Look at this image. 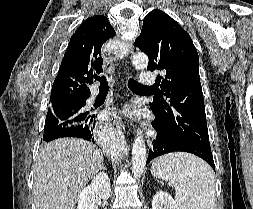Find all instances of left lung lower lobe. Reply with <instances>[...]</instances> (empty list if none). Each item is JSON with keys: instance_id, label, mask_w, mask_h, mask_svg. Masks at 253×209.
Returning a JSON list of instances; mask_svg holds the SVG:
<instances>
[{"instance_id": "obj_1", "label": "left lung lower lobe", "mask_w": 253, "mask_h": 209, "mask_svg": "<svg viewBox=\"0 0 253 209\" xmlns=\"http://www.w3.org/2000/svg\"><path fill=\"white\" fill-rule=\"evenodd\" d=\"M153 127L157 131L156 139L153 141V149L149 150L146 165L154 158L176 151L192 153L205 160L214 170V160L211 149L194 141L178 138L166 134L161 126L154 121Z\"/></svg>"}]
</instances>
